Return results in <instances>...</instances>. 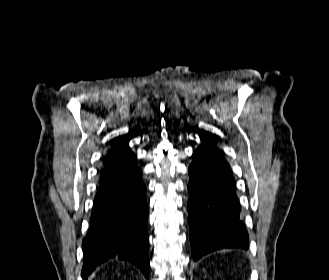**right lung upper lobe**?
Instances as JSON below:
<instances>
[{"mask_svg": "<svg viewBox=\"0 0 329 280\" xmlns=\"http://www.w3.org/2000/svg\"><path fill=\"white\" fill-rule=\"evenodd\" d=\"M129 140L122 136L114 139V146L105 158V167L134 163L136 156L128 146Z\"/></svg>", "mask_w": 329, "mask_h": 280, "instance_id": "obj_1", "label": "right lung upper lobe"}]
</instances>
